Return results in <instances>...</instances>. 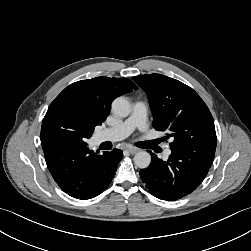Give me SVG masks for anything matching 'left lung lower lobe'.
Wrapping results in <instances>:
<instances>
[{"instance_id":"0a47b994","label":"left lung lower lobe","mask_w":251,"mask_h":251,"mask_svg":"<svg viewBox=\"0 0 251 251\" xmlns=\"http://www.w3.org/2000/svg\"><path fill=\"white\" fill-rule=\"evenodd\" d=\"M171 151L167 161L151 153L150 166L140 171L149 192L167 201L193 192L206 177L215 155L214 148L206 147L174 148Z\"/></svg>"}]
</instances>
